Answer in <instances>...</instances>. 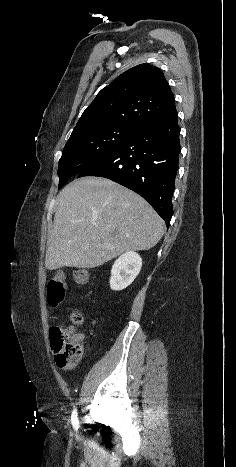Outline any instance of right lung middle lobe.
Listing matches in <instances>:
<instances>
[{"label": "right lung middle lobe", "instance_id": "right-lung-middle-lobe-1", "mask_svg": "<svg viewBox=\"0 0 236 467\" xmlns=\"http://www.w3.org/2000/svg\"><path fill=\"white\" fill-rule=\"evenodd\" d=\"M137 130L122 125H109L71 134L59 160L60 189L76 174L100 160Z\"/></svg>", "mask_w": 236, "mask_h": 467}]
</instances>
